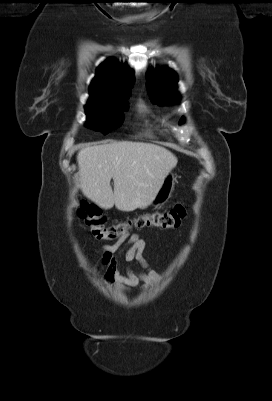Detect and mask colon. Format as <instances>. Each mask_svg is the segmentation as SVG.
I'll list each match as a JSON object with an SVG mask.
<instances>
[{"instance_id": "colon-1", "label": "colon", "mask_w": 272, "mask_h": 401, "mask_svg": "<svg viewBox=\"0 0 272 401\" xmlns=\"http://www.w3.org/2000/svg\"><path fill=\"white\" fill-rule=\"evenodd\" d=\"M79 215L96 239L115 240L130 229L177 228L186 215V209L182 204H178L170 210L145 213L131 220L107 226L106 217L102 211L96 205L84 201L81 203Z\"/></svg>"}]
</instances>
